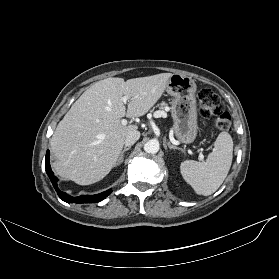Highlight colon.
<instances>
[{"label": "colon", "mask_w": 279, "mask_h": 279, "mask_svg": "<svg viewBox=\"0 0 279 279\" xmlns=\"http://www.w3.org/2000/svg\"><path fill=\"white\" fill-rule=\"evenodd\" d=\"M200 113L205 118H213L218 130L231 129V116L224 110L220 97L211 89L203 88L198 93Z\"/></svg>", "instance_id": "1"}]
</instances>
